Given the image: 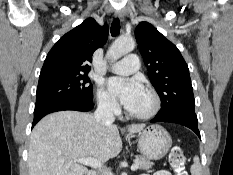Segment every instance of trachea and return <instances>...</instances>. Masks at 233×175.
<instances>
[{"instance_id": "obj_1", "label": "trachea", "mask_w": 233, "mask_h": 175, "mask_svg": "<svg viewBox=\"0 0 233 175\" xmlns=\"http://www.w3.org/2000/svg\"><path fill=\"white\" fill-rule=\"evenodd\" d=\"M120 33V20L116 18L111 24V35L116 37Z\"/></svg>"}]
</instances>
